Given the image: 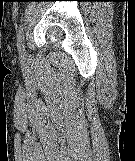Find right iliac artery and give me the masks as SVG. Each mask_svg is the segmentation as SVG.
I'll list each match as a JSON object with an SVG mask.
<instances>
[{"label":"right iliac artery","mask_w":135,"mask_h":161,"mask_svg":"<svg viewBox=\"0 0 135 161\" xmlns=\"http://www.w3.org/2000/svg\"><path fill=\"white\" fill-rule=\"evenodd\" d=\"M17 46H18L19 54L22 57V54L24 52V33H23V28H21L19 30L18 38H17Z\"/></svg>","instance_id":"82829eb1"}]
</instances>
